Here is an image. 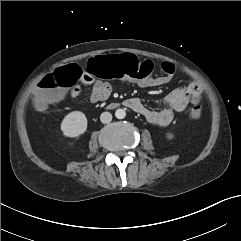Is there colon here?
Here are the masks:
<instances>
[{
    "instance_id": "colon-1",
    "label": "colon",
    "mask_w": 241,
    "mask_h": 241,
    "mask_svg": "<svg viewBox=\"0 0 241 241\" xmlns=\"http://www.w3.org/2000/svg\"><path fill=\"white\" fill-rule=\"evenodd\" d=\"M89 74L110 79L127 77L130 79H145L154 69L150 60H139L131 54L119 55H94L87 59L85 64ZM159 68L166 75H173L175 66L170 62H162ZM82 75V65L77 60H69L57 71L51 72L42 79L35 95V104L38 108H44L48 104L60 100L63 94L71 88ZM200 106H194L190 110V116L197 119L201 116Z\"/></svg>"
}]
</instances>
